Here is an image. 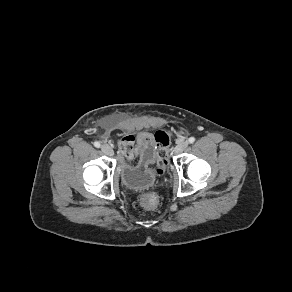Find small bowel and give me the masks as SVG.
<instances>
[{
	"label": "small bowel",
	"instance_id": "c3829d8e",
	"mask_svg": "<svg viewBox=\"0 0 292 292\" xmlns=\"http://www.w3.org/2000/svg\"><path fill=\"white\" fill-rule=\"evenodd\" d=\"M157 143L155 135L140 134L136 138L128 136L119 143V154L127 163L144 164L146 167L152 165L157 158Z\"/></svg>",
	"mask_w": 292,
	"mask_h": 292
}]
</instances>
